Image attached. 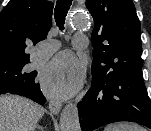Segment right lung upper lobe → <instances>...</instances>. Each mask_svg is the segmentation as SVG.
Listing matches in <instances>:
<instances>
[{
	"instance_id": "cb5924a9",
	"label": "right lung upper lobe",
	"mask_w": 151,
	"mask_h": 131,
	"mask_svg": "<svg viewBox=\"0 0 151 131\" xmlns=\"http://www.w3.org/2000/svg\"><path fill=\"white\" fill-rule=\"evenodd\" d=\"M52 12L47 0H10L0 13V58L29 60L25 49L47 37Z\"/></svg>"
}]
</instances>
